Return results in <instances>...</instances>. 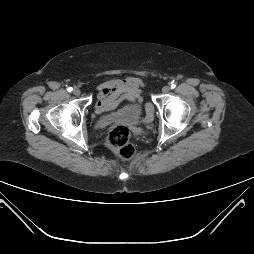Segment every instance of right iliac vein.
I'll use <instances>...</instances> for the list:
<instances>
[{
	"label": "right iliac vein",
	"mask_w": 254,
	"mask_h": 254,
	"mask_svg": "<svg viewBox=\"0 0 254 254\" xmlns=\"http://www.w3.org/2000/svg\"><path fill=\"white\" fill-rule=\"evenodd\" d=\"M73 94L76 95V96H79L81 94L80 89L79 88H74Z\"/></svg>",
	"instance_id": "1"
}]
</instances>
